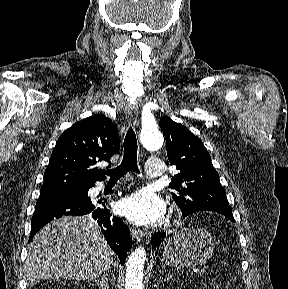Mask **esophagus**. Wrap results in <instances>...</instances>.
<instances>
[{
    "label": "esophagus",
    "mask_w": 288,
    "mask_h": 289,
    "mask_svg": "<svg viewBox=\"0 0 288 289\" xmlns=\"http://www.w3.org/2000/svg\"><path fill=\"white\" fill-rule=\"evenodd\" d=\"M137 105L136 104H128L126 106V119L129 124L136 126L137 121H136V116H137ZM130 234L133 238L134 241L136 242H141L143 240V232L139 229H135L133 227L130 228Z\"/></svg>",
    "instance_id": "obj_1"
}]
</instances>
